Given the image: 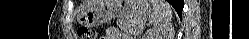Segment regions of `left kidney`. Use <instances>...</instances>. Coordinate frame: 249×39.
<instances>
[{"mask_svg":"<svg viewBox=\"0 0 249 39\" xmlns=\"http://www.w3.org/2000/svg\"><path fill=\"white\" fill-rule=\"evenodd\" d=\"M163 36L158 31L151 30L146 35L143 36V39H160ZM166 36H164L165 38Z\"/></svg>","mask_w":249,"mask_h":39,"instance_id":"obj_1","label":"left kidney"}]
</instances>
